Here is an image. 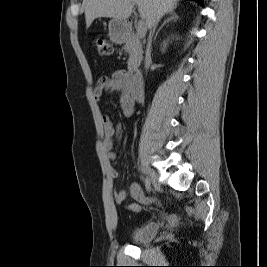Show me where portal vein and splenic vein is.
Here are the masks:
<instances>
[{
	"label": "portal vein and splenic vein",
	"mask_w": 267,
	"mask_h": 267,
	"mask_svg": "<svg viewBox=\"0 0 267 267\" xmlns=\"http://www.w3.org/2000/svg\"><path fill=\"white\" fill-rule=\"evenodd\" d=\"M145 34H146V24H145V22L143 21V19H141V20L138 22V26H137V35H138L140 38H143V37H145Z\"/></svg>",
	"instance_id": "portal-vein-and-splenic-vein-1"
}]
</instances>
